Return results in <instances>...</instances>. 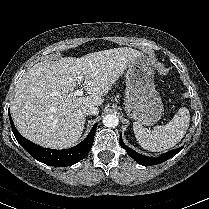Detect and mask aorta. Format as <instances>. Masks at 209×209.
Here are the masks:
<instances>
[{"label": "aorta", "mask_w": 209, "mask_h": 209, "mask_svg": "<svg viewBox=\"0 0 209 209\" xmlns=\"http://www.w3.org/2000/svg\"><path fill=\"white\" fill-rule=\"evenodd\" d=\"M102 122L104 126L109 127V128H114L118 125L119 118L115 114H107L106 116L103 117Z\"/></svg>", "instance_id": "762f6f07"}]
</instances>
